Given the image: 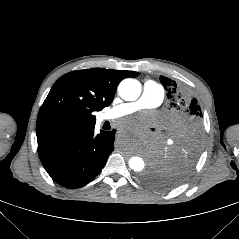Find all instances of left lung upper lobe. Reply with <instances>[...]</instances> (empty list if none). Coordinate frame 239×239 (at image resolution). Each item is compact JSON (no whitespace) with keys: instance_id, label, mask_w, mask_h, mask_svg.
<instances>
[{"instance_id":"1","label":"left lung upper lobe","mask_w":239,"mask_h":239,"mask_svg":"<svg viewBox=\"0 0 239 239\" xmlns=\"http://www.w3.org/2000/svg\"><path fill=\"white\" fill-rule=\"evenodd\" d=\"M160 82L169 99V140L142 181L154 189H170L180 184L197 162L203 144L202 111L188 88L165 76H160Z\"/></svg>"}]
</instances>
